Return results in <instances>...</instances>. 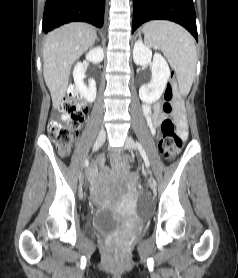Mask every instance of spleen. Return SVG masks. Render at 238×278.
Segmentation results:
<instances>
[{"label": "spleen", "mask_w": 238, "mask_h": 278, "mask_svg": "<svg viewBox=\"0 0 238 278\" xmlns=\"http://www.w3.org/2000/svg\"><path fill=\"white\" fill-rule=\"evenodd\" d=\"M148 47L162 51L175 70L180 92L192 86L197 64L195 40L183 27L169 21H151L142 29Z\"/></svg>", "instance_id": "1"}]
</instances>
